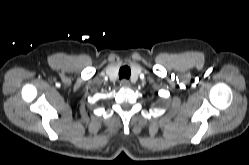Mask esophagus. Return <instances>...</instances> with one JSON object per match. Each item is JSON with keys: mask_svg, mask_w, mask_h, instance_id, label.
Returning <instances> with one entry per match:
<instances>
[{"mask_svg": "<svg viewBox=\"0 0 249 165\" xmlns=\"http://www.w3.org/2000/svg\"><path fill=\"white\" fill-rule=\"evenodd\" d=\"M120 84L122 87H125V88L130 87V82L127 79H122Z\"/></svg>", "mask_w": 249, "mask_h": 165, "instance_id": "esophagus-1", "label": "esophagus"}]
</instances>
